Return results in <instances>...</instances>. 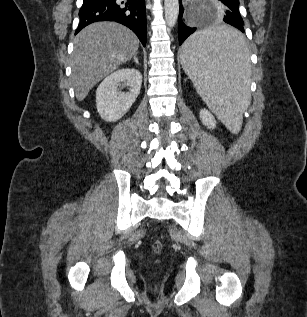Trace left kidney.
I'll return each instance as SVG.
<instances>
[{"instance_id": "left-kidney-1", "label": "left kidney", "mask_w": 307, "mask_h": 317, "mask_svg": "<svg viewBox=\"0 0 307 317\" xmlns=\"http://www.w3.org/2000/svg\"><path fill=\"white\" fill-rule=\"evenodd\" d=\"M199 115L202 123L209 129H214L216 127V120L210 111L207 109H202Z\"/></svg>"}]
</instances>
